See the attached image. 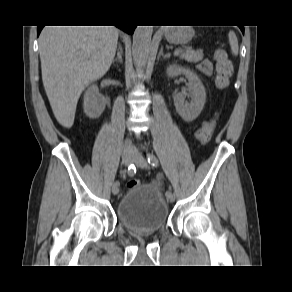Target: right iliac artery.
<instances>
[{"label": "right iliac artery", "mask_w": 292, "mask_h": 292, "mask_svg": "<svg viewBox=\"0 0 292 292\" xmlns=\"http://www.w3.org/2000/svg\"><path fill=\"white\" fill-rule=\"evenodd\" d=\"M127 172H128V175L129 176H133L136 173V167H135V165L134 164L129 165ZM114 185H117V187H120L121 186V183L119 182L118 179H115Z\"/></svg>", "instance_id": "right-iliac-artery-1"}]
</instances>
